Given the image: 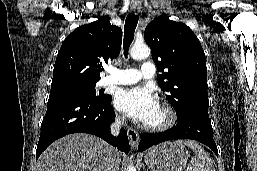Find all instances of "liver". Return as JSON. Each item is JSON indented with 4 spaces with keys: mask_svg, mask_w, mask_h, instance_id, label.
<instances>
[{
    "mask_svg": "<svg viewBox=\"0 0 257 171\" xmlns=\"http://www.w3.org/2000/svg\"><path fill=\"white\" fill-rule=\"evenodd\" d=\"M109 145L89 134H70L53 142L39 157L38 171H104ZM119 165L121 154L113 152Z\"/></svg>",
    "mask_w": 257,
    "mask_h": 171,
    "instance_id": "liver-1",
    "label": "liver"
}]
</instances>
